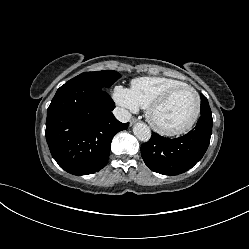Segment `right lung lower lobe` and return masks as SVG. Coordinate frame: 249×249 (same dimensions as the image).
I'll return each mask as SVG.
<instances>
[{
	"instance_id": "right-lung-lower-lobe-1",
	"label": "right lung lower lobe",
	"mask_w": 249,
	"mask_h": 249,
	"mask_svg": "<svg viewBox=\"0 0 249 249\" xmlns=\"http://www.w3.org/2000/svg\"><path fill=\"white\" fill-rule=\"evenodd\" d=\"M115 103L104 89L81 81L61 86L47 110L46 140L58 165L87 175L102 169L112 138L128 128L113 115Z\"/></svg>"
}]
</instances>
